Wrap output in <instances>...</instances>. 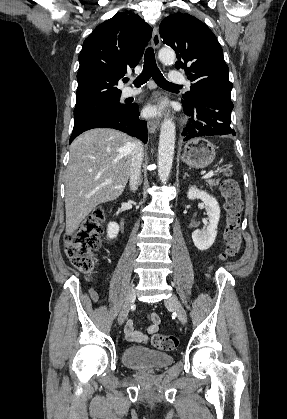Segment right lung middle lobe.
<instances>
[{"mask_svg":"<svg viewBox=\"0 0 287 419\" xmlns=\"http://www.w3.org/2000/svg\"><path fill=\"white\" fill-rule=\"evenodd\" d=\"M120 95L108 97L88 105L75 107L74 109V123L100 112H122L129 109V105H124L119 102Z\"/></svg>","mask_w":287,"mask_h":419,"instance_id":"dd1d6c3e","label":"right lung middle lobe"}]
</instances>
